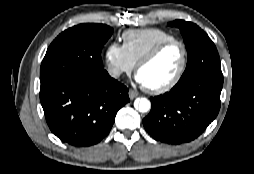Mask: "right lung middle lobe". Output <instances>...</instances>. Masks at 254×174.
I'll list each match as a JSON object with an SVG mask.
<instances>
[{
	"label": "right lung middle lobe",
	"mask_w": 254,
	"mask_h": 174,
	"mask_svg": "<svg viewBox=\"0 0 254 174\" xmlns=\"http://www.w3.org/2000/svg\"><path fill=\"white\" fill-rule=\"evenodd\" d=\"M113 33L104 24H80L59 34L41 63V88L104 72L101 50Z\"/></svg>",
	"instance_id": "dd1d6c3e"
}]
</instances>
